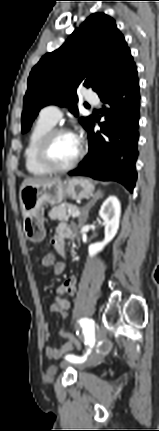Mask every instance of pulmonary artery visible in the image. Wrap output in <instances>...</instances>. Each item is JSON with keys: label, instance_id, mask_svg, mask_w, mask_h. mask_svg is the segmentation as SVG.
I'll list each match as a JSON object with an SVG mask.
<instances>
[{"label": "pulmonary artery", "instance_id": "obj_1", "mask_svg": "<svg viewBox=\"0 0 159 431\" xmlns=\"http://www.w3.org/2000/svg\"><path fill=\"white\" fill-rule=\"evenodd\" d=\"M84 98L92 104L99 103L97 95L91 90L84 91ZM41 116L55 124L62 117V112L57 105H49L42 109Z\"/></svg>", "mask_w": 159, "mask_h": 431}]
</instances>
